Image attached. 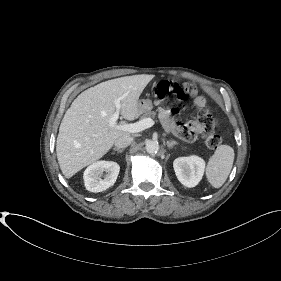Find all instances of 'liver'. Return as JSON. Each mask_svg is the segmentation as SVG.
<instances>
[{
	"mask_svg": "<svg viewBox=\"0 0 281 281\" xmlns=\"http://www.w3.org/2000/svg\"><path fill=\"white\" fill-rule=\"evenodd\" d=\"M153 78L141 74L108 80L83 91L66 111L59 127L56 154L66 178L102 158L115 140L130 132L110 124L116 111L115 99L121 100L122 118L132 121L139 116L138 99Z\"/></svg>",
	"mask_w": 281,
	"mask_h": 281,
	"instance_id": "liver-1",
	"label": "liver"
}]
</instances>
